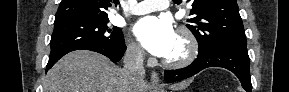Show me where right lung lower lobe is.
<instances>
[{"label": "right lung lower lobe", "instance_id": "1", "mask_svg": "<svg viewBox=\"0 0 289 92\" xmlns=\"http://www.w3.org/2000/svg\"><path fill=\"white\" fill-rule=\"evenodd\" d=\"M74 50H91V51H95L98 53H101L105 56H107L111 61L113 62H117L119 61L125 50H126V46H125V41L124 38L122 39V41H120L118 44L116 45H102V44H84L75 48H71V49H66L63 50L61 52H59L56 55L50 56L49 57V61L48 64L46 66V72L61 58L63 57L65 54L74 51Z\"/></svg>", "mask_w": 289, "mask_h": 92}]
</instances>
